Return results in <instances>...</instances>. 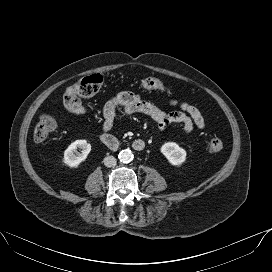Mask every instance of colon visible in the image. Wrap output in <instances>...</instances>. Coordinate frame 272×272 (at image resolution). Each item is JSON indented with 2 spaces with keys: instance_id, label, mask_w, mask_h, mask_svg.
<instances>
[{
  "instance_id": "colon-1",
  "label": "colon",
  "mask_w": 272,
  "mask_h": 272,
  "mask_svg": "<svg viewBox=\"0 0 272 272\" xmlns=\"http://www.w3.org/2000/svg\"><path fill=\"white\" fill-rule=\"evenodd\" d=\"M104 83V77L101 74H92L84 77L73 86L67 88L63 94V105L72 113L82 114L85 107L81 98H90L96 95ZM139 88L144 90H161L170 92L169 87L157 78H146L139 83ZM56 122L51 115L44 114L40 117L34 129V140L37 143H43L54 131ZM223 149V142L214 138L208 144V150L211 153H218Z\"/></svg>"
}]
</instances>
